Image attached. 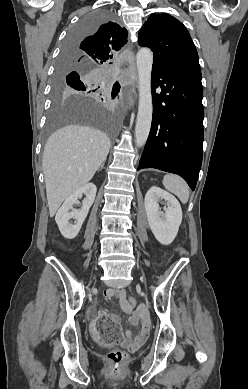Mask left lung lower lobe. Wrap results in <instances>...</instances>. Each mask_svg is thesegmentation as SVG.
<instances>
[{
	"instance_id": "1",
	"label": "left lung lower lobe",
	"mask_w": 248,
	"mask_h": 389,
	"mask_svg": "<svg viewBox=\"0 0 248 389\" xmlns=\"http://www.w3.org/2000/svg\"><path fill=\"white\" fill-rule=\"evenodd\" d=\"M160 86V93L156 89ZM152 125L138 170L156 168L183 177L195 189L202 164L203 88L199 65H153Z\"/></svg>"
}]
</instances>
